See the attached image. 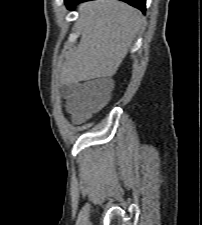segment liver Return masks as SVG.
<instances>
[{
  "label": "liver",
  "mask_w": 202,
  "mask_h": 225,
  "mask_svg": "<svg viewBox=\"0 0 202 225\" xmlns=\"http://www.w3.org/2000/svg\"><path fill=\"white\" fill-rule=\"evenodd\" d=\"M78 11L81 39L64 65L63 81L112 77L142 28V13L118 0L85 2Z\"/></svg>",
  "instance_id": "liver-1"
}]
</instances>
